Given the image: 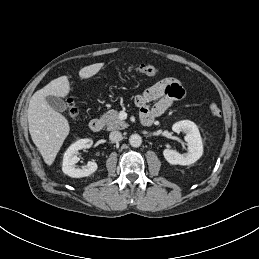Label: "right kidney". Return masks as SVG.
I'll use <instances>...</instances> for the list:
<instances>
[{"label": "right kidney", "instance_id": "ca27d5eb", "mask_svg": "<svg viewBox=\"0 0 259 259\" xmlns=\"http://www.w3.org/2000/svg\"><path fill=\"white\" fill-rule=\"evenodd\" d=\"M93 144L92 139H80L70 145L63 156L62 171L64 174L73 177L81 178L94 173L98 166L94 161H89L83 168H77L76 163L79 161V150L90 148Z\"/></svg>", "mask_w": 259, "mask_h": 259}]
</instances>
